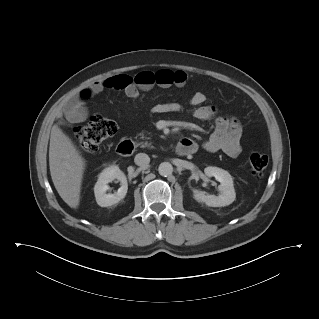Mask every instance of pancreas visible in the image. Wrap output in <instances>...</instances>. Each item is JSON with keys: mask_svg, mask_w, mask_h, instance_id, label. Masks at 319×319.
<instances>
[{"mask_svg": "<svg viewBox=\"0 0 319 319\" xmlns=\"http://www.w3.org/2000/svg\"><path fill=\"white\" fill-rule=\"evenodd\" d=\"M142 138H145L144 135L142 134ZM138 145H140L142 148L148 147V148H153L152 144L149 142H141Z\"/></svg>", "mask_w": 319, "mask_h": 319, "instance_id": "pancreas-1", "label": "pancreas"}]
</instances>
